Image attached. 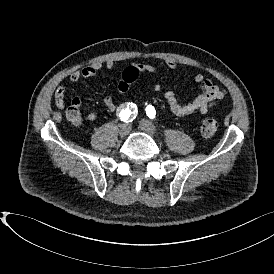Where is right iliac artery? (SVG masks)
Returning <instances> with one entry per match:
<instances>
[{
    "label": "right iliac artery",
    "mask_w": 274,
    "mask_h": 274,
    "mask_svg": "<svg viewBox=\"0 0 274 274\" xmlns=\"http://www.w3.org/2000/svg\"><path fill=\"white\" fill-rule=\"evenodd\" d=\"M136 109L137 108H136L135 104L132 105V103H131V105H128L127 108L123 109L119 113V117H120L121 121H124V122L133 121L137 116V110Z\"/></svg>",
    "instance_id": "82829eb1"
}]
</instances>
